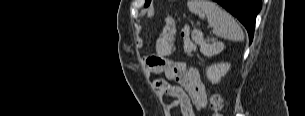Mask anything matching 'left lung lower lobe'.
Listing matches in <instances>:
<instances>
[{
	"label": "left lung lower lobe",
	"instance_id": "obj_1",
	"mask_svg": "<svg viewBox=\"0 0 305 116\" xmlns=\"http://www.w3.org/2000/svg\"><path fill=\"white\" fill-rule=\"evenodd\" d=\"M234 15L247 29L250 43L253 40L256 16L261 10V0H214Z\"/></svg>",
	"mask_w": 305,
	"mask_h": 116
}]
</instances>
